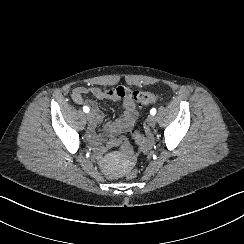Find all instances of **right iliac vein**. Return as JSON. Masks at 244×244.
Wrapping results in <instances>:
<instances>
[{
    "label": "right iliac vein",
    "instance_id": "1",
    "mask_svg": "<svg viewBox=\"0 0 244 244\" xmlns=\"http://www.w3.org/2000/svg\"><path fill=\"white\" fill-rule=\"evenodd\" d=\"M86 117H87V120H88L89 122H92V121H94V119H95V115H94L93 112H88V113L86 114Z\"/></svg>",
    "mask_w": 244,
    "mask_h": 244
}]
</instances>
